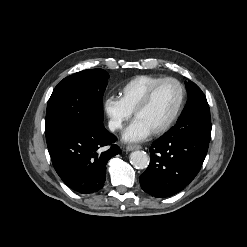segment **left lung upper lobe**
<instances>
[{"instance_id":"1","label":"left lung upper lobe","mask_w":247,"mask_h":247,"mask_svg":"<svg viewBox=\"0 0 247 247\" xmlns=\"http://www.w3.org/2000/svg\"><path fill=\"white\" fill-rule=\"evenodd\" d=\"M188 101L177 123L167 135L198 137L206 140L211 138L210 109L204 93L193 82L186 83Z\"/></svg>"}]
</instances>
